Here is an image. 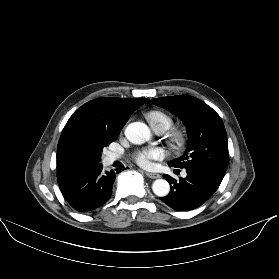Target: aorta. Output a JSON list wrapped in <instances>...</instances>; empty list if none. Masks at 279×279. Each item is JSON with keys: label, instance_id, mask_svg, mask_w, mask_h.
Wrapping results in <instances>:
<instances>
[{"label": "aorta", "instance_id": "obj_1", "mask_svg": "<svg viewBox=\"0 0 279 279\" xmlns=\"http://www.w3.org/2000/svg\"><path fill=\"white\" fill-rule=\"evenodd\" d=\"M125 136L133 144H143L151 138L148 126L142 122L130 123L125 129ZM154 194L165 197L169 194L170 185L165 179H157L152 184Z\"/></svg>", "mask_w": 279, "mask_h": 279}]
</instances>
